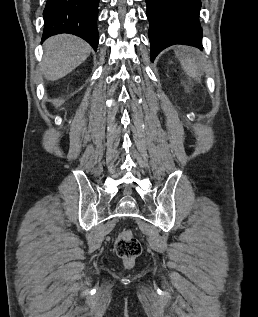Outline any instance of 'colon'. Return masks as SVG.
Wrapping results in <instances>:
<instances>
[{
	"instance_id": "5ec220e1",
	"label": "colon",
	"mask_w": 258,
	"mask_h": 317,
	"mask_svg": "<svg viewBox=\"0 0 258 317\" xmlns=\"http://www.w3.org/2000/svg\"><path fill=\"white\" fill-rule=\"evenodd\" d=\"M117 255L126 263H131L142 251L139 240L130 231H123L115 242Z\"/></svg>"
}]
</instances>
